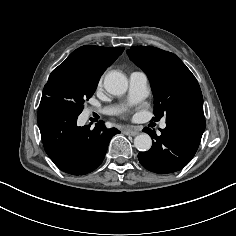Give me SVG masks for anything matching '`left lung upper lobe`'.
<instances>
[{
  "label": "left lung upper lobe",
  "mask_w": 236,
  "mask_h": 236,
  "mask_svg": "<svg viewBox=\"0 0 236 236\" xmlns=\"http://www.w3.org/2000/svg\"><path fill=\"white\" fill-rule=\"evenodd\" d=\"M127 54L149 77L154 96V120L187 108L203 109L196 78L175 54L150 46H133Z\"/></svg>",
  "instance_id": "obj_1"
}]
</instances>
